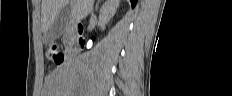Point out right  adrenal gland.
I'll use <instances>...</instances> for the list:
<instances>
[{
  "label": "right adrenal gland",
  "instance_id": "2a0ac1e0",
  "mask_svg": "<svg viewBox=\"0 0 232 96\" xmlns=\"http://www.w3.org/2000/svg\"><path fill=\"white\" fill-rule=\"evenodd\" d=\"M100 1H102V0H97V4H96V10H98V8H99V3H100Z\"/></svg>",
  "mask_w": 232,
  "mask_h": 96
}]
</instances>
